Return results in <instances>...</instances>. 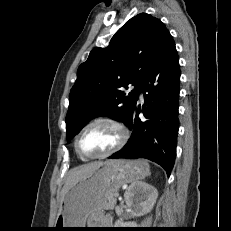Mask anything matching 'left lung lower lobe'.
<instances>
[{
	"mask_svg": "<svg viewBox=\"0 0 231 231\" xmlns=\"http://www.w3.org/2000/svg\"><path fill=\"white\" fill-rule=\"evenodd\" d=\"M179 85L178 53L168 33L141 79L140 92L144 94L146 106L142 110L147 120H140L141 107L135 106L125 123L132 131L131 137L109 158H146L161 165L170 176L176 156Z\"/></svg>",
	"mask_w": 231,
	"mask_h": 231,
	"instance_id": "left-lung-lower-lobe-1",
	"label": "left lung lower lobe"
}]
</instances>
